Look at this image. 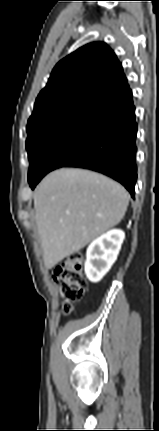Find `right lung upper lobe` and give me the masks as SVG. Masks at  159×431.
<instances>
[{
  "mask_svg": "<svg viewBox=\"0 0 159 431\" xmlns=\"http://www.w3.org/2000/svg\"><path fill=\"white\" fill-rule=\"evenodd\" d=\"M131 96L115 53L107 44L93 42L57 63L28 123L56 113L88 118Z\"/></svg>",
  "mask_w": 159,
  "mask_h": 431,
  "instance_id": "right-lung-upper-lobe-1",
  "label": "right lung upper lobe"
}]
</instances>
